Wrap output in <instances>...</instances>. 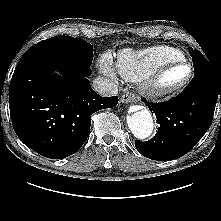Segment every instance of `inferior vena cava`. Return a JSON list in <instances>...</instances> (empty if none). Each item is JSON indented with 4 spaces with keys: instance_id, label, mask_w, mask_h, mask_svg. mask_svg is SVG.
<instances>
[{
    "instance_id": "602c4592",
    "label": "inferior vena cava",
    "mask_w": 221,
    "mask_h": 221,
    "mask_svg": "<svg viewBox=\"0 0 221 221\" xmlns=\"http://www.w3.org/2000/svg\"><path fill=\"white\" fill-rule=\"evenodd\" d=\"M93 89L102 96H114L118 94L117 85L104 77H96L93 80Z\"/></svg>"
}]
</instances>
